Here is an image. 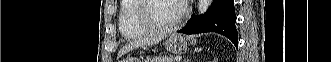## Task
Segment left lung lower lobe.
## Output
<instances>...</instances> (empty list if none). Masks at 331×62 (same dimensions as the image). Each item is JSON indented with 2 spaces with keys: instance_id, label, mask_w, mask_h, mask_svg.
<instances>
[{
  "instance_id": "obj_1",
  "label": "left lung lower lobe",
  "mask_w": 331,
  "mask_h": 62,
  "mask_svg": "<svg viewBox=\"0 0 331 62\" xmlns=\"http://www.w3.org/2000/svg\"><path fill=\"white\" fill-rule=\"evenodd\" d=\"M236 14L234 0H213L206 13L195 16L179 33L197 34L203 32H217L228 37L238 46V32L235 27Z\"/></svg>"
}]
</instances>
